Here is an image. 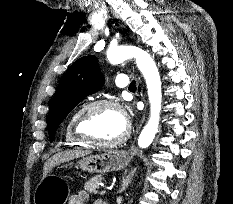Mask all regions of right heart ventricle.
<instances>
[{
	"mask_svg": "<svg viewBox=\"0 0 233 204\" xmlns=\"http://www.w3.org/2000/svg\"><path fill=\"white\" fill-rule=\"evenodd\" d=\"M78 111H75L68 119L65 132H64V139L67 145L71 147H86L87 144L79 140L73 133V121L75 115Z\"/></svg>",
	"mask_w": 233,
	"mask_h": 204,
	"instance_id": "1",
	"label": "right heart ventricle"
}]
</instances>
